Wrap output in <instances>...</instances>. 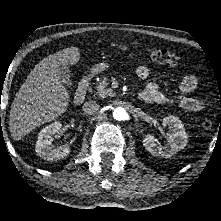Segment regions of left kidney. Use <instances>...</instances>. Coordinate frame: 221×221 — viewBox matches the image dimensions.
Here are the masks:
<instances>
[{"instance_id": "obj_1", "label": "left kidney", "mask_w": 221, "mask_h": 221, "mask_svg": "<svg viewBox=\"0 0 221 221\" xmlns=\"http://www.w3.org/2000/svg\"><path fill=\"white\" fill-rule=\"evenodd\" d=\"M162 125L169 127L167 138L169 144L167 146L158 145L156 138L148 134L143 139L142 143L145 149L156 157L170 158L187 145V133L181 120L175 116H168L163 118Z\"/></svg>"}]
</instances>
